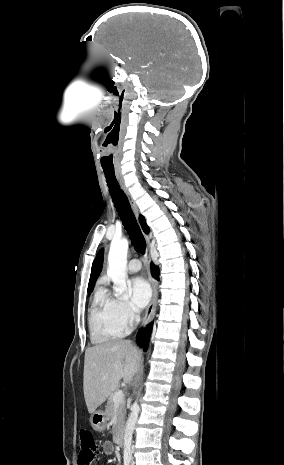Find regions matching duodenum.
<instances>
[{
	"instance_id": "obj_1",
	"label": "duodenum",
	"mask_w": 284,
	"mask_h": 465,
	"mask_svg": "<svg viewBox=\"0 0 284 465\" xmlns=\"http://www.w3.org/2000/svg\"><path fill=\"white\" fill-rule=\"evenodd\" d=\"M123 437H124V432L123 430H116L115 432V436H114V439H115V443L117 445H121L123 443Z\"/></svg>"
}]
</instances>
